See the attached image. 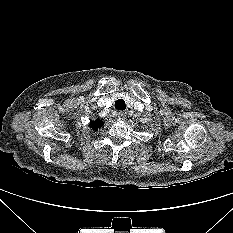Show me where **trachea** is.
Returning <instances> with one entry per match:
<instances>
[{"label":"trachea","instance_id":"3493384b","mask_svg":"<svg viewBox=\"0 0 233 233\" xmlns=\"http://www.w3.org/2000/svg\"><path fill=\"white\" fill-rule=\"evenodd\" d=\"M115 108L117 110H125V108H126L125 101L123 99H118L115 102Z\"/></svg>","mask_w":233,"mask_h":233}]
</instances>
